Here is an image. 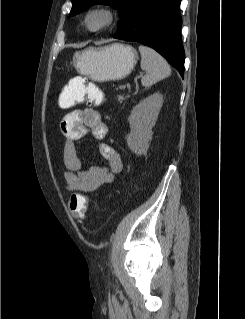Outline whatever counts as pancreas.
<instances>
[{
	"label": "pancreas",
	"instance_id": "obj_1",
	"mask_svg": "<svg viewBox=\"0 0 245 319\" xmlns=\"http://www.w3.org/2000/svg\"><path fill=\"white\" fill-rule=\"evenodd\" d=\"M123 99H124V97H123L122 95H119V96H118V101L121 102Z\"/></svg>",
	"mask_w": 245,
	"mask_h": 319
}]
</instances>
